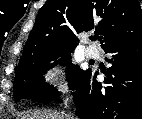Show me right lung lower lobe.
<instances>
[{"instance_id": "1", "label": "right lung lower lobe", "mask_w": 142, "mask_h": 119, "mask_svg": "<svg viewBox=\"0 0 142 119\" xmlns=\"http://www.w3.org/2000/svg\"><path fill=\"white\" fill-rule=\"evenodd\" d=\"M111 54L104 83L87 70L73 93L80 119H142V35L104 49ZM59 102V101H58Z\"/></svg>"}]
</instances>
